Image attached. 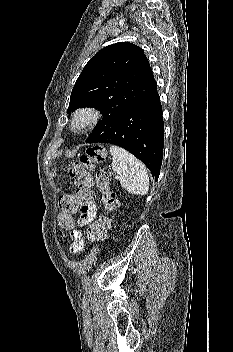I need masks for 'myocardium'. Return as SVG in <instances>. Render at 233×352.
<instances>
[{
  "mask_svg": "<svg viewBox=\"0 0 233 352\" xmlns=\"http://www.w3.org/2000/svg\"><path fill=\"white\" fill-rule=\"evenodd\" d=\"M102 115L101 112L92 106H83L77 109L71 118V126L78 131H84L96 125Z\"/></svg>",
  "mask_w": 233,
  "mask_h": 352,
  "instance_id": "myocardium-1",
  "label": "myocardium"
}]
</instances>
